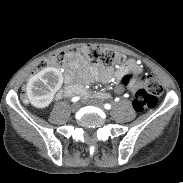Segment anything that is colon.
<instances>
[{
  "mask_svg": "<svg viewBox=\"0 0 183 183\" xmlns=\"http://www.w3.org/2000/svg\"><path fill=\"white\" fill-rule=\"evenodd\" d=\"M81 54L93 64H103L111 66L124 62L125 56L113 50L106 49L97 45H86L81 48ZM75 59L74 51H64L55 53L47 58L42 59L37 67V71L45 70L51 66L63 65L73 62ZM142 79V78H141ZM143 87L138 89L133 100V107L136 111L141 112L154 108L157 105L158 97L162 93V86L153 76H147L142 79ZM133 81V75L127 74L121 79V83L110 86L107 94L110 97H121L126 91V87Z\"/></svg>",
  "mask_w": 183,
  "mask_h": 183,
  "instance_id": "5ec220e1",
  "label": "colon"
}]
</instances>
